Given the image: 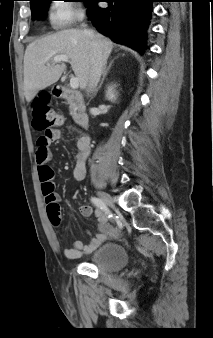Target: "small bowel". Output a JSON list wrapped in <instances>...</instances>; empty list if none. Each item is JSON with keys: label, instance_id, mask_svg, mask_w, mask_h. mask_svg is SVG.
Returning <instances> with one entry per match:
<instances>
[{"label": "small bowel", "instance_id": "small-bowel-1", "mask_svg": "<svg viewBox=\"0 0 213 338\" xmlns=\"http://www.w3.org/2000/svg\"><path fill=\"white\" fill-rule=\"evenodd\" d=\"M73 129L80 134V138L77 142V152L75 155V167H74V176L81 180L84 178L86 173V161L90 152V138L81 133L79 129L73 126ZM61 136V132L58 129L52 131V135L50 137L46 135H42L37 139L36 146V163L38 165L39 171L41 169H51L49 166V162L51 160V152L50 147L52 143L58 140ZM61 201V197L58 194H53L50 201L47 203V215L51 221V217L54 215L53 210H56L57 216L60 217L61 212L59 209V203ZM80 212L83 215H90L92 213V208L90 206L84 205L81 206ZM97 217V232L95 235H92L88 231L89 242L84 244L82 241H75L72 247L64 250V255L68 259H77L87 254L93 250V248L103 241L108 236V226L107 219L105 214L101 210L96 211ZM59 226V223L57 224Z\"/></svg>", "mask_w": 213, "mask_h": 338}]
</instances>
